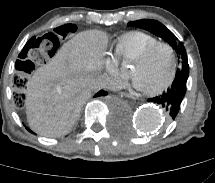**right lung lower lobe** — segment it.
Wrapping results in <instances>:
<instances>
[{"mask_svg":"<svg viewBox=\"0 0 215 183\" xmlns=\"http://www.w3.org/2000/svg\"><path fill=\"white\" fill-rule=\"evenodd\" d=\"M102 95H107V92L101 90V91H99V92L95 95V97H96V96H102ZM27 129H28V128H27Z\"/></svg>","mask_w":215,"mask_h":183,"instance_id":"obj_1","label":"right lung lower lobe"}]
</instances>
